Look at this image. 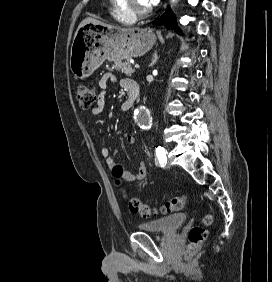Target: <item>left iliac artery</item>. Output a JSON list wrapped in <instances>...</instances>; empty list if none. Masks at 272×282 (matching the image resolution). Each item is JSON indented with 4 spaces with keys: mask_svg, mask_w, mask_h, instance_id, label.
<instances>
[{
    "mask_svg": "<svg viewBox=\"0 0 272 282\" xmlns=\"http://www.w3.org/2000/svg\"><path fill=\"white\" fill-rule=\"evenodd\" d=\"M166 153L167 151L163 147L158 146L156 148V156L161 166H164L167 162Z\"/></svg>",
    "mask_w": 272,
    "mask_h": 282,
    "instance_id": "1",
    "label": "left iliac artery"
}]
</instances>
